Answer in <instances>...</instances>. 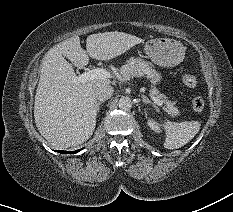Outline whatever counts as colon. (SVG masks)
<instances>
[{
	"label": "colon",
	"instance_id": "obj_1",
	"mask_svg": "<svg viewBox=\"0 0 233 212\" xmlns=\"http://www.w3.org/2000/svg\"><path fill=\"white\" fill-rule=\"evenodd\" d=\"M182 81L190 89H195L198 86L197 79L191 74H184L182 76ZM192 107L196 113H201L204 110L205 103L200 96H194L192 98Z\"/></svg>",
	"mask_w": 233,
	"mask_h": 212
}]
</instances>
